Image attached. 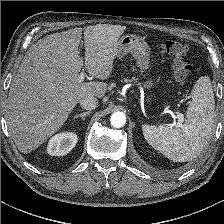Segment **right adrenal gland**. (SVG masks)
<instances>
[{"label":"right adrenal gland","instance_id":"obj_1","mask_svg":"<svg viewBox=\"0 0 224 224\" xmlns=\"http://www.w3.org/2000/svg\"><path fill=\"white\" fill-rule=\"evenodd\" d=\"M90 113H91V111L77 114V115L74 116V120L77 119L78 117H81L82 120H85V117L88 116Z\"/></svg>","mask_w":224,"mask_h":224}]
</instances>
